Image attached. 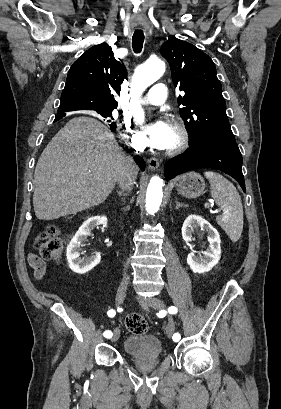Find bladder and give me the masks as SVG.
Listing matches in <instances>:
<instances>
[{
	"label": "bladder",
	"instance_id": "bladder-1",
	"mask_svg": "<svg viewBox=\"0 0 281 409\" xmlns=\"http://www.w3.org/2000/svg\"><path fill=\"white\" fill-rule=\"evenodd\" d=\"M121 349L131 358L134 355H164L165 352L161 338L153 333L128 335L122 339Z\"/></svg>",
	"mask_w": 281,
	"mask_h": 409
}]
</instances>
